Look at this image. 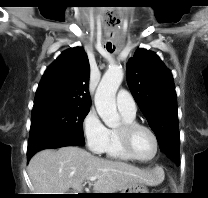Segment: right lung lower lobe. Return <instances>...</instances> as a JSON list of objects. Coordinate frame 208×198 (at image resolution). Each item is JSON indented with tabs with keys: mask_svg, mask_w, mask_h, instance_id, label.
<instances>
[{
	"mask_svg": "<svg viewBox=\"0 0 208 198\" xmlns=\"http://www.w3.org/2000/svg\"><path fill=\"white\" fill-rule=\"evenodd\" d=\"M85 143L72 137L55 134L29 141L27 149V160L38 151L48 148H59L64 146H83Z\"/></svg>",
	"mask_w": 208,
	"mask_h": 198,
	"instance_id": "1",
	"label": "right lung lower lobe"
}]
</instances>
